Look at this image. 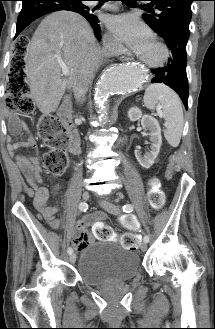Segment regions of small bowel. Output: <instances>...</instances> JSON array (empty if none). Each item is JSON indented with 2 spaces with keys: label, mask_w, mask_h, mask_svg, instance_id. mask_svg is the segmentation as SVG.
<instances>
[{
  "label": "small bowel",
  "mask_w": 215,
  "mask_h": 329,
  "mask_svg": "<svg viewBox=\"0 0 215 329\" xmlns=\"http://www.w3.org/2000/svg\"><path fill=\"white\" fill-rule=\"evenodd\" d=\"M11 131L14 134L25 132L29 134V130L25 122L18 117L13 116L10 118ZM23 147H36V141L30 135L26 139L8 141V149L11 153H14L19 148ZM17 163L23 175L27 179L29 186L31 187V195L33 196L34 207L45 220L53 228L59 226V220L55 218L57 207L48 204L49 192L46 188L41 186L42 168L37 156H24L19 155L16 157ZM107 216L104 213H96L93 216H87L78 221L75 234L72 236V244L78 251H82L89 243L93 242H114V226L105 225ZM135 224H139L136 222ZM89 225L92 232L90 236L86 227Z\"/></svg>",
  "instance_id": "small-bowel-1"
}]
</instances>
